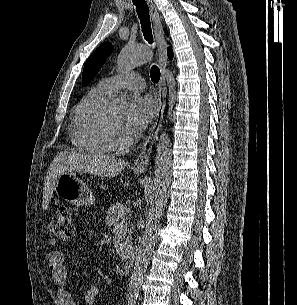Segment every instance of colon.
I'll return each mask as SVG.
<instances>
[{
	"label": "colon",
	"mask_w": 297,
	"mask_h": 305,
	"mask_svg": "<svg viewBox=\"0 0 297 305\" xmlns=\"http://www.w3.org/2000/svg\"><path fill=\"white\" fill-rule=\"evenodd\" d=\"M73 220L72 215L67 207L61 206L54 218L50 233L53 238L66 241L73 234Z\"/></svg>",
	"instance_id": "obj_1"
}]
</instances>
